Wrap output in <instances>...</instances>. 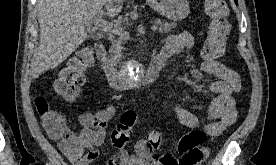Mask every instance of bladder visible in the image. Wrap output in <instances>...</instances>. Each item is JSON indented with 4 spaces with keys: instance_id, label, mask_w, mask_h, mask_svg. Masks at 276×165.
Instances as JSON below:
<instances>
[{
    "instance_id": "31cf9c89",
    "label": "bladder",
    "mask_w": 276,
    "mask_h": 165,
    "mask_svg": "<svg viewBox=\"0 0 276 165\" xmlns=\"http://www.w3.org/2000/svg\"><path fill=\"white\" fill-rule=\"evenodd\" d=\"M131 165H151V164L144 162V161L137 160Z\"/></svg>"
}]
</instances>
